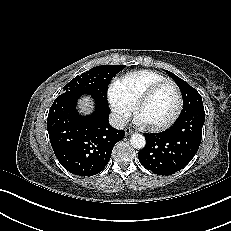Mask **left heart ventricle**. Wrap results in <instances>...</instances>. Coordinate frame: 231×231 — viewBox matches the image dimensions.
Wrapping results in <instances>:
<instances>
[{
	"label": "left heart ventricle",
	"instance_id": "left-heart-ventricle-1",
	"mask_svg": "<svg viewBox=\"0 0 231 231\" xmlns=\"http://www.w3.org/2000/svg\"><path fill=\"white\" fill-rule=\"evenodd\" d=\"M176 93L171 85L159 87L146 102L140 117L146 123L161 124L172 115L176 105Z\"/></svg>",
	"mask_w": 231,
	"mask_h": 231
}]
</instances>
